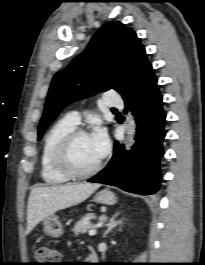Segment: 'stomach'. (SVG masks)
I'll list each match as a JSON object with an SVG mask.
<instances>
[{"instance_id": "stomach-1", "label": "stomach", "mask_w": 205, "mask_h": 265, "mask_svg": "<svg viewBox=\"0 0 205 265\" xmlns=\"http://www.w3.org/2000/svg\"><path fill=\"white\" fill-rule=\"evenodd\" d=\"M94 201L101 204L113 205L117 198L108 189L101 190L94 196ZM44 231L51 237L58 238L63 233V226L56 216H49L43 220Z\"/></svg>"}]
</instances>
